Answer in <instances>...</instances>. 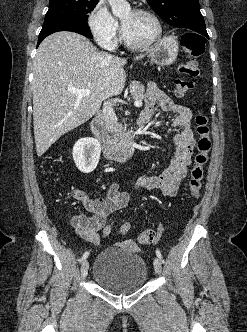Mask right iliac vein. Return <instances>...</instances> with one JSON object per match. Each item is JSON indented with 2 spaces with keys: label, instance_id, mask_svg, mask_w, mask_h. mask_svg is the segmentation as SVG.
<instances>
[{
  "label": "right iliac vein",
  "instance_id": "1",
  "mask_svg": "<svg viewBox=\"0 0 247 332\" xmlns=\"http://www.w3.org/2000/svg\"><path fill=\"white\" fill-rule=\"evenodd\" d=\"M88 269H89V262L87 259H85L82 262V266H81V276L82 278H86L88 275Z\"/></svg>",
  "mask_w": 247,
  "mask_h": 332
}]
</instances>
